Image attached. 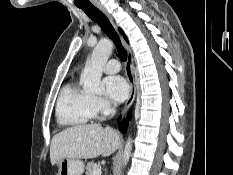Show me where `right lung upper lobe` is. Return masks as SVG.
<instances>
[{
	"label": "right lung upper lobe",
	"instance_id": "obj_1",
	"mask_svg": "<svg viewBox=\"0 0 233 175\" xmlns=\"http://www.w3.org/2000/svg\"><path fill=\"white\" fill-rule=\"evenodd\" d=\"M120 31H121V33L123 34L125 40L128 41V40H127V37L125 36V34L123 33V31H122L121 29H120Z\"/></svg>",
	"mask_w": 233,
	"mask_h": 175
}]
</instances>
